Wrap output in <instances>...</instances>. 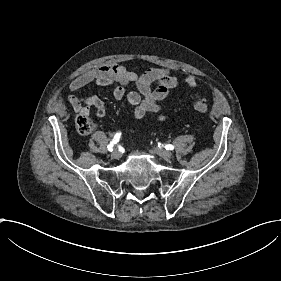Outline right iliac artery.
Returning <instances> with one entry per match:
<instances>
[{
  "label": "right iliac artery",
  "instance_id": "1",
  "mask_svg": "<svg viewBox=\"0 0 281 281\" xmlns=\"http://www.w3.org/2000/svg\"><path fill=\"white\" fill-rule=\"evenodd\" d=\"M121 133H116V135L114 136L113 140L110 142V144L107 146L108 151H113V146L114 144H116L117 142H119Z\"/></svg>",
  "mask_w": 281,
  "mask_h": 281
}]
</instances>
